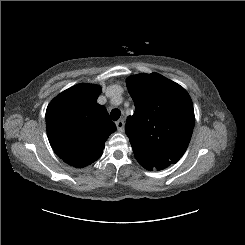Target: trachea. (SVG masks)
I'll return each mask as SVG.
<instances>
[{
    "instance_id": "trachea-1",
    "label": "trachea",
    "mask_w": 245,
    "mask_h": 245,
    "mask_svg": "<svg viewBox=\"0 0 245 245\" xmlns=\"http://www.w3.org/2000/svg\"><path fill=\"white\" fill-rule=\"evenodd\" d=\"M110 115L112 120L117 121L120 118L121 112L119 109H113Z\"/></svg>"
}]
</instances>
